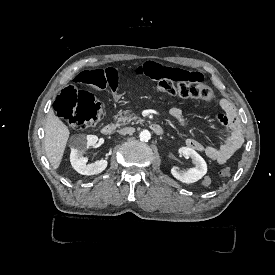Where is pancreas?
Returning <instances> with one entry per match:
<instances>
[{
	"label": "pancreas",
	"instance_id": "obj_1",
	"mask_svg": "<svg viewBox=\"0 0 275 275\" xmlns=\"http://www.w3.org/2000/svg\"><path fill=\"white\" fill-rule=\"evenodd\" d=\"M119 117L117 118V122H121L122 124H134L132 121H136V123L143 122V119L139 118L136 114H130L129 111H124L118 114Z\"/></svg>",
	"mask_w": 275,
	"mask_h": 275
}]
</instances>
